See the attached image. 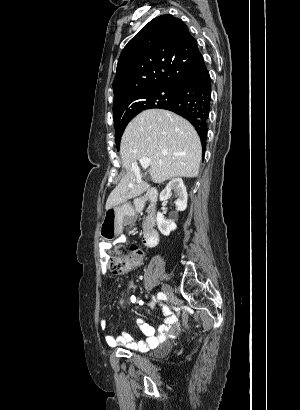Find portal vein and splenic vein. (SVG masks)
Masks as SVG:
<instances>
[{
	"mask_svg": "<svg viewBox=\"0 0 300 410\" xmlns=\"http://www.w3.org/2000/svg\"><path fill=\"white\" fill-rule=\"evenodd\" d=\"M150 161H151V160H150L149 158H147V157L141 158V159L139 160L141 166H142L143 168H145V169L149 166ZM132 166H133V169H134V172H135V173H139V172H140L137 163H133Z\"/></svg>",
	"mask_w": 300,
	"mask_h": 410,
	"instance_id": "18ae733b",
	"label": "portal vein and splenic vein"
}]
</instances>
